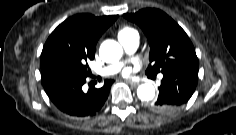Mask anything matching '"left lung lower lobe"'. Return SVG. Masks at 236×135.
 Masks as SVG:
<instances>
[{"label":"left lung lower lobe","instance_id":"1","mask_svg":"<svg viewBox=\"0 0 236 135\" xmlns=\"http://www.w3.org/2000/svg\"><path fill=\"white\" fill-rule=\"evenodd\" d=\"M198 68L199 65H190L163 73L159 96L156 101L150 103L151 109L168 113L186 104L196 89Z\"/></svg>","mask_w":236,"mask_h":135}]
</instances>
